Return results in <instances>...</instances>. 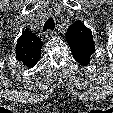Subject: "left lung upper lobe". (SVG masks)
I'll list each match as a JSON object with an SVG mask.
<instances>
[{"label":"left lung upper lobe","instance_id":"left-lung-upper-lobe-1","mask_svg":"<svg viewBox=\"0 0 113 113\" xmlns=\"http://www.w3.org/2000/svg\"><path fill=\"white\" fill-rule=\"evenodd\" d=\"M66 39L74 59L81 65L87 66L91 55L95 52L91 30L81 21H76L68 28Z\"/></svg>","mask_w":113,"mask_h":113}]
</instances>
